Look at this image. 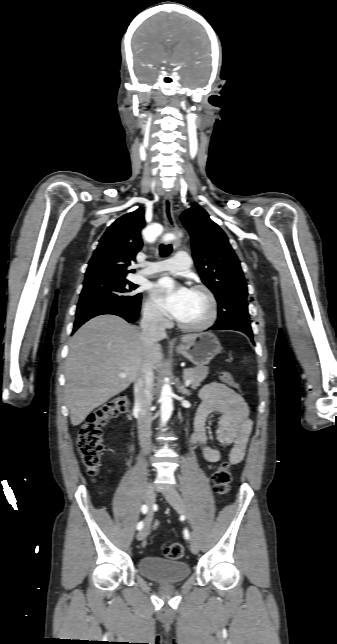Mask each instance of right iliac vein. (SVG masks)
Returning a JSON list of instances; mask_svg holds the SVG:
<instances>
[{
  "label": "right iliac vein",
  "instance_id": "1",
  "mask_svg": "<svg viewBox=\"0 0 337 644\" xmlns=\"http://www.w3.org/2000/svg\"><path fill=\"white\" fill-rule=\"evenodd\" d=\"M144 501L148 505L149 508H151L155 502V492L153 486L150 484L148 485L145 496H144ZM149 532V527L146 525L142 530H140L137 533V540L141 541L143 540Z\"/></svg>",
  "mask_w": 337,
  "mask_h": 644
}]
</instances>
